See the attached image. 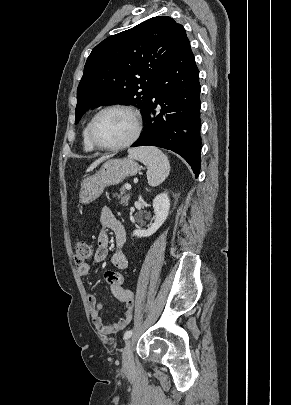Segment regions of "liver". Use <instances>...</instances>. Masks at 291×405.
<instances>
[{
	"mask_svg": "<svg viewBox=\"0 0 291 405\" xmlns=\"http://www.w3.org/2000/svg\"><path fill=\"white\" fill-rule=\"evenodd\" d=\"M107 157H101L98 160H96L95 162H93L90 167L87 169V172L92 171L94 168H96L101 162H103Z\"/></svg>",
	"mask_w": 291,
	"mask_h": 405,
	"instance_id": "liver-1",
	"label": "liver"
}]
</instances>
